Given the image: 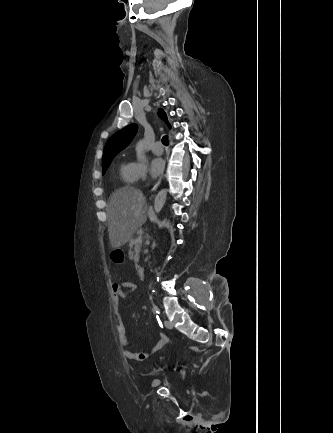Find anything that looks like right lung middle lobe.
Wrapping results in <instances>:
<instances>
[{
    "mask_svg": "<svg viewBox=\"0 0 333 433\" xmlns=\"http://www.w3.org/2000/svg\"><path fill=\"white\" fill-rule=\"evenodd\" d=\"M110 163H111V160L109 162H106V163L103 164V166H102V174H104L106 172V170H107L108 166L110 165Z\"/></svg>",
    "mask_w": 333,
    "mask_h": 433,
    "instance_id": "dd1d6c3e",
    "label": "right lung middle lobe"
}]
</instances>
